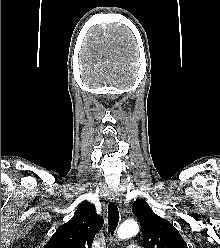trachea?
<instances>
[{
	"instance_id": "obj_1",
	"label": "trachea",
	"mask_w": 220,
	"mask_h": 248,
	"mask_svg": "<svg viewBox=\"0 0 220 248\" xmlns=\"http://www.w3.org/2000/svg\"><path fill=\"white\" fill-rule=\"evenodd\" d=\"M119 222V211L115 204L108 205V224L111 235L114 234Z\"/></svg>"
}]
</instances>
